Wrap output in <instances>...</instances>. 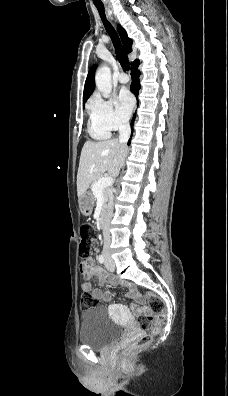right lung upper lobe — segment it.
Segmentation results:
<instances>
[{
	"label": "right lung upper lobe",
	"mask_w": 228,
	"mask_h": 396,
	"mask_svg": "<svg viewBox=\"0 0 228 396\" xmlns=\"http://www.w3.org/2000/svg\"><path fill=\"white\" fill-rule=\"evenodd\" d=\"M119 35L121 37L124 49L126 53H130L132 51V40L128 38L126 31L124 28L121 27V25H118L117 27ZM138 60H135L132 62V65L137 62ZM94 70L95 67H92L91 70L88 73L86 82H85V87H84V93H83V101L85 102L90 95L93 93L94 88H95V81H94Z\"/></svg>",
	"instance_id": "cb5924a9"
}]
</instances>
